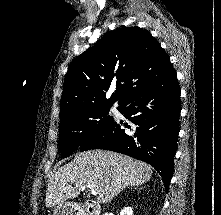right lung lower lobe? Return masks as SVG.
<instances>
[{
    "label": "right lung lower lobe",
    "instance_id": "98d812e1",
    "mask_svg": "<svg viewBox=\"0 0 221 215\" xmlns=\"http://www.w3.org/2000/svg\"><path fill=\"white\" fill-rule=\"evenodd\" d=\"M118 110L133 123L132 130L122 129V122L114 120L88 137L80 150L106 149L147 162L159 172L168 190L174 170L181 110L175 70L128 98Z\"/></svg>",
    "mask_w": 221,
    "mask_h": 215
}]
</instances>
